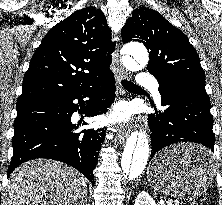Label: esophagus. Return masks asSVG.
I'll use <instances>...</instances> for the list:
<instances>
[{"mask_svg":"<svg viewBox=\"0 0 222 205\" xmlns=\"http://www.w3.org/2000/svg\"><path fill=\"white\" fill-rule=\"evenodd\" d=\"M118 65V72L116 74V81L117 84L120 85V82L124 78H129L130 73H128L120 64L119 61H117ZM130 129L128 126H119L118 127V140L120 143H123L125 138L128 136Z\"/></svg>","mask_w":222,"mask_h":205,"instance_id":"34e87169","label":"esophagus"}]
</instances>
